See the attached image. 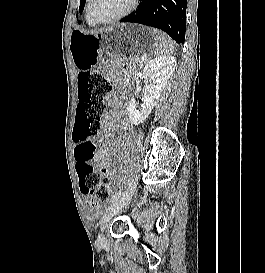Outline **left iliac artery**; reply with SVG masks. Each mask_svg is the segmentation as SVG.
Instances as JSON below:
<instances>
[{
    "mask_svg": "<svg viewBox=\"0 0 265 273\" xmlns=\"http://www.w3.org/2000/svg\"><path fill=\"white\" fill-rule=\"evenodd\" d=\"M122 190H119L118 192H116L110 199H109V203H113L115 202L120 196H121Z\"/></svg>",
    "mask_w": 265,
    "mask_h": 273,
    "instance_id": "44dca946",
    "label": "left iliac artery"
}]
</instances>
